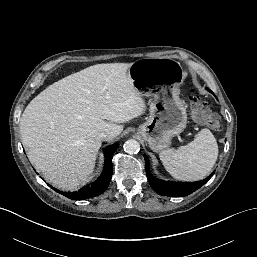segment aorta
<instances>
[{
	"label": "aorta",
	"mask_w": 257,
	"mask_h": 257,
	"mask_svg": "<svg viewBox=\"0 0 257 257\" xmlns=\"http://www.w3.org/2000/svg\"><path fill=\"white\" fill-rule=\"evenodd\" d=\"M124 151L128 154H136L140 150V145L138 141L134 139H129L124 143Z\"/></svg>",
	"instance_id": "762f6f07"
}]
</instances>
